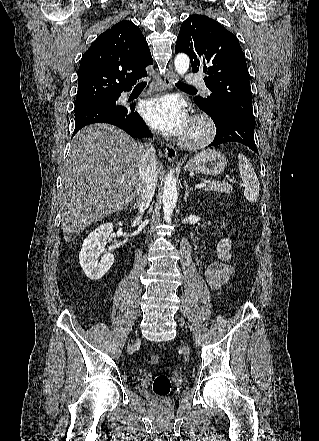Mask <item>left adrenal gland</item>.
<instances>
[{
  "label": "left adrenal gland",
  "instance_id": "obj_1",
  "mask_svg": "<svg viewBox=\"0 0 319 441\" xmlns=\"http://www.w3.org/2000/svg\"><path fill=\"white\" fill-rule=\"evenodd\" d=\"M184 185H185V188H186L184 200H185V202H187V199L189 197L190 192H192L194 189H193V187H189V185H188V183L186 181H184Z\"/></svg>",
  "mask_w": 319,
  "mask_h": 441
}]
</instances>
